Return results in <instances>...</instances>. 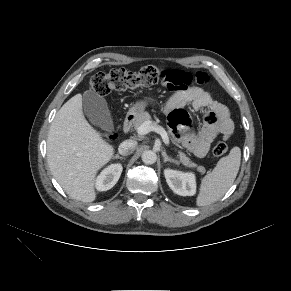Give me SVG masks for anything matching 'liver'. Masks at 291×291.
I'll use <instances>...</instances> for the list:
<instances>
[{
  "instance_id": "6515ba94",
  "label": "liver",
  "mask_w": 291,
  "mask_h": 291,
  "mask_svg": "<svg viewBox=\"0 0 291 291\" xmlns=\"http://www.w3.org/2000/svg\"><path fill=\"white\" fill-rule=\"evenodd\" d=\"M114 148L86 121L82 95L69 99L57 112L47 138L52 175L73 199H96L97 172L113 157Z\"/></svg>"
}]
</instances>
